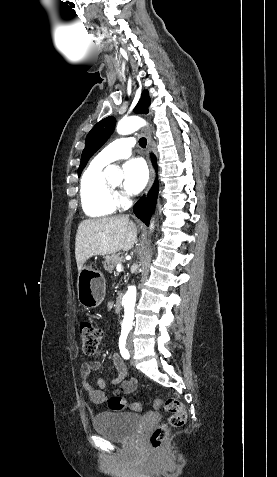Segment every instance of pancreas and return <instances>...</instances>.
I'll list each match as a JSON object with an SVG mask.
<instances>
[{
  "label": "pancreas",
  "instance_id": "1",
  "mask_svg": "<svg viewBox=\"0 0 277 477\" xmlns=\"http://www.w3.org/2000/svg\"><path fill=\"white\" fill-rule=\"evenodd\" d=\"M121 261V258H120V254H111V255H107L105 256V261L103 262V267L107 270V271H112L116 264L119 263Z\"/></svg>",
  "mask_w": 277,
  "mask_h": 477
}]
</instances>
